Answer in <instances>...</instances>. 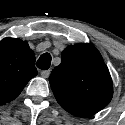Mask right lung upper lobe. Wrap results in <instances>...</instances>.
<instances>
[{
    "label": "right lung upper lobe",
    "mask_w": 125,
    "mask_h": 125,
    "mask_svg": "<svg viewBox=\"0 0 125 125\" xmlns=\"http://www.w3.org/2000/svg\"><path fill=\"white\" fill-rule=\"evenodd\" d=\"M35 55L26 41H0V105L14 100L28 81L37 75Z\"/></svg>",
    "instance_id": "cb5924a9"
}]
</instances>
